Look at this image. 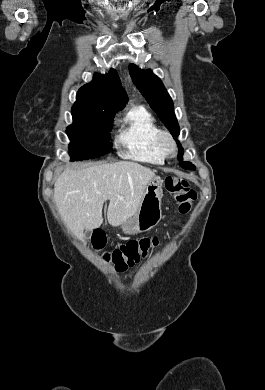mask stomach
<instances>
[{"label": "stomach", "instance_id": "0dacf381", "mask_svg": "<svg viewBox=\"0 0 265 390\" xmlns=\"http://www.w3.org/2000/svg\"><path fill=\"white\" fill-rule=\"evenodd\" d=\"M162 180L154 176L147 184L139 209L121 224L125 234H138L155 227L161 220Z\"/></svg>", "mask_w": 265, "mask_h": 390}]
</instances>
